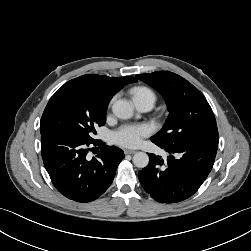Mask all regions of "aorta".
<instances>
[{
    "label": "aorta",
    "instance_id": "obj_1",
    "mask_svg": "<svg viewBox=\"0 0 251 251\" xmlns=\"http://www.w3.org/2000/svg\"><path fill=\"white\" fill-rule=\"evenodd\" d=\"M113 113L121 119H129L133 115L132 105L124 99H119L112 106ZM133 163L138 168H145L149 163V156L144 152H137L133 156Z\"/></svg>",
    "mask_w": 251,
    "mask_h": 251
}]
</instances>
